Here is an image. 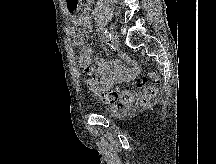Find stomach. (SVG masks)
<instances>
[{"label":"stomach","instance_id":"1","mask_svg":"<svg viewBox=\"0 0 216 164\" xmlns=\"http://www.w3.org/2000/svg\"><path fill=\"white\" fill-rule=\"evenodd\" d=\"M81 1L82 0H65V3H66L67 8H68L67 10H68V12H72L71 13L72 17L76 16L75 10L80 9Z\"/></svg>","mask_w":216,"mask_h":164}]
</instances>
